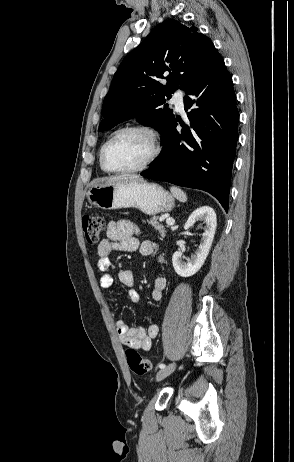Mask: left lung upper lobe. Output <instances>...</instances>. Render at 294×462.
Returning <instances> with one entry per match:
<instances>
[{"instance_id": "obj_1", "label": "left lung upper lobe", "mask_w": 294, "mask_h": 462, "mask_svg": "<svg viewBox=\"0 0 294 462\" xmlns=\"http://www.w3.org/2000/svg\"><path fill=\"white\" fill-rule=\"evenodd\" d=\"M221 56L209 38L177 20H166L129 53L105 97L100 131L136 118L165 135L175 116L159 106L178 88L184 90ZM166 75V86L159 82Z\"/></svg>"}]
</instances>
